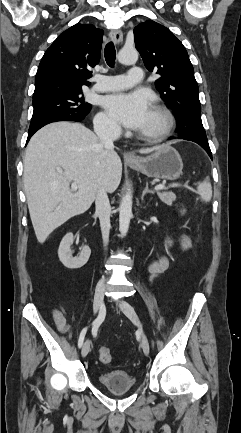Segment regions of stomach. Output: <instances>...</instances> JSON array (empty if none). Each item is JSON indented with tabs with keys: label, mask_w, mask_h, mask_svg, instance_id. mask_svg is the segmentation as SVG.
Returning a JSON list of instances; mask_svg holds the SVG:
<instances>
[{
	"label": "stomach",
	"mask_w": 241,
	"mask_h": 433,
	"mask_svg": "<svg viewBox=\"0 0 241 433\" xmlns=\"http://www.w3.org/2000/svg\"><path fill=\"white\" fill-rule=\"evenodd\" d=\"M128 165L142 174L156 179L176 180L182 174L183 162L179 153L169 145L160 146L148 157L127 161Z\"/></svg>",
	"instance_id": "1"
}]
</instances>
